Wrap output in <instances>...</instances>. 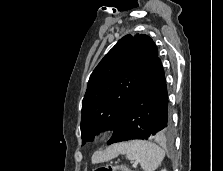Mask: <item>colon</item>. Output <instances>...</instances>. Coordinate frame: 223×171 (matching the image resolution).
I'll return each instance as SVG.
<instances>
[{
	"label": "colon",
	"instance_id": "obj_1",
	"mask_svg": "<svg viewBox=\"0 0 223 171\" xmlns=\"http://www.w3.org/2000/svg\"><path fill=\"white\" fill-rule=\"evenodd\" d=\"M94 171H130L127 167L122 165H104Z\"/></svg>",
	"mask_w": 223,
	"mask_h": 171
}]
</instances>
